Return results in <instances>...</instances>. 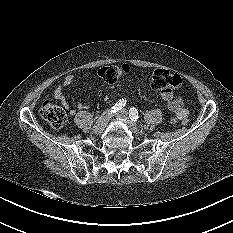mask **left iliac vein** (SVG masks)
I'll use <instances>...</instances> for the list:
<instances>
[{
    "label": "left iliac vein",
    "instance_id": "1",
    "mask_svg": "<svg viewBox=\"0 0 233 233\" xmlns=\"http://www.w3.org/2000/svg\"><path fill=\"white\" fill-rule=\"evenodd\" d=\"M116 117L118 119H121L124 122H126L129 125V128H130L131 132L135 136L142 135V132L137 127L129 124V122H128V112L126 110H121L120 112L116 113Z\"/></svg>",
    "mask_w": 233,
    "mask_h": 233
}]
</instances>
